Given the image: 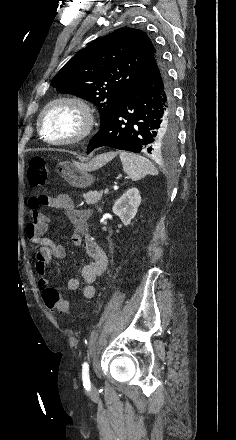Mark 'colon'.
Segmentation results:
<instances>
[{
	"label": "colon",
	"instance_id": "obj_1",
	"mask_svg": "<svg viewBox=\"0 0 236 440\" xmlns=\"http://www.w3.org/2000/svg\"><path fill=\"white\" fill-rule=\"evenodd\" d=\"M48 176L49 168L46 159L42 156L33 157L30 160L27 174L29 185L32 188L43 186L47 182ZM42 298L49 309L61 314L69 313L70 309L68 301L62 298L54 287H44Z\"/></svg>",
	"mask_w": 236,
	"mask_h": 440
}]
</instances>
